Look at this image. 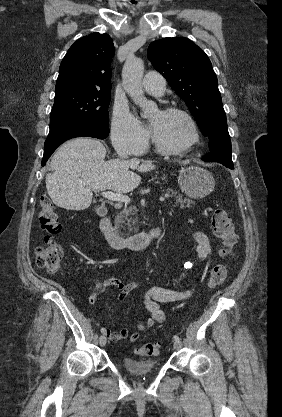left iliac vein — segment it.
<instances>
[{
    "instance_id": "1",
    "label": "left iliac vein",
    "mask_w": 282,
    "mask_h": 417,
    "mask_svg": "<svg viewBox=\"0 0 282 417\" xmlns=\"http://www.w3.org/2000/svg\"><path fill=\"white\" fill-rule=\"evenodd\" d=\"M173 347H174V349H176V350L181 349V348H182V342H181L180 340H178V341H174V343H173Z\"/></svg>"
}]
</instances>
